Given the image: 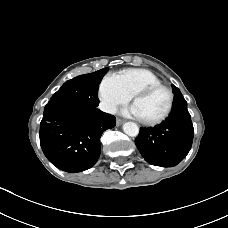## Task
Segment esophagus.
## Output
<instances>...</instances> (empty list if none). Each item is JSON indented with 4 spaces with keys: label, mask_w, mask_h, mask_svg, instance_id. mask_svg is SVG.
I'll list each match as a JSON object with an SVG mask.
<instances>
[{
    "label": "esophagus",
    "mask_w": 228,
    "mask_h": 228,
    "mask_svg": "<svg viewBox=\"0 0 228 228\" xmlns=\"http://www.w3.org/2000/svg\"><path fill=\"white\" fill-rule=\"evenodd\" d=\"M123 123V120L122 119H120V118H117L116 119V124L119 126V125H121Z\"/></svg>",
    "instance_id": "1"
}]
</instances>
